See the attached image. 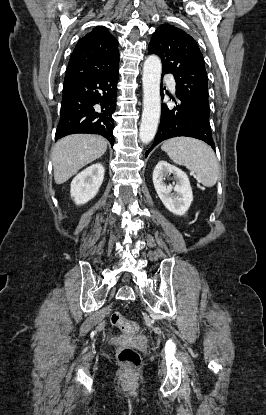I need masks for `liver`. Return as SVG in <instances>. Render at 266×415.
<instances>
[{"mask_svg":"<svg viewBox=\"0 0 266 415\" xmlns=\"http://www.w3.org/2000/svg\"><path fill=\"white\" fill-rule=\"evenodd\" d=\"M107 150V140L98 135L74 134L54 146L52 162L56 184H63L81 168L100 158Z\"/></svg>","mask_w":266,"mask_h":415,"instance_id":"liver-1","label":"liver"}]
</instances>
